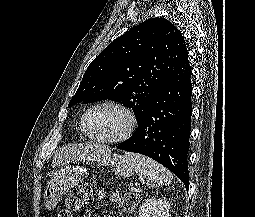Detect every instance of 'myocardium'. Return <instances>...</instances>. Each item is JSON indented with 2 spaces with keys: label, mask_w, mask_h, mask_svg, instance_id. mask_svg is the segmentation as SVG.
<instances>
[{
  "label": "myocardium",
  "mask_w": 255,
  "mask_h": 217,
  "mask_svg": "<svg viewBox=\"0 0 255 217\" xmlns=\"http://www.w3.org/2000/svg\"><path fill=\"white\" fill-rule=\"evenodd\" d=\"M103 106L113 107V108L119 110L120 112H122L124 114V116L126 117V125H125L124 129L122 130V132L120 134H118L115 137L103 138V137L93 135L92 133H90L88 131V129L86 127V119H87V116L89 115V113L92 110L99 108V107H103ZM80 126H81V130L83 131V133L86 136H88L89 138H91L95 141L101 142V143L116 144V143L126 140L134 132V130L137 126V117H136L134 111L125 103L117 101V100L107 99V100H102V101L96 102L93 105H91L90 107H88L85 110L84 114L82 115V118L80 121Z\"/></svg>",
  "instance_id": "myocardium-1"
}]
</instances>
